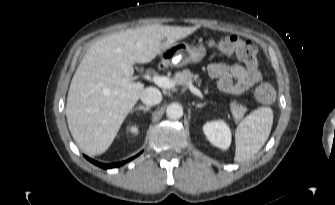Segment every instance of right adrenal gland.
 Here are the masks:
<instances>
[{
    "mask_svg": "<svg viewBox=\"0 0 335 205\" xmlns=\"http://www.w3.org/2000/svg\"><path fill=\"white\" fill-rule=\"evenodd\" d=\"M136 110H142V111H144V113H146V112H148L150 110V106L140 105L138 107H135L131 112H134Z\"/></svg>",
    "mask_w": 335,
    "mask_h": 205,
    "instance_id": "obj_1",
    "label": "right adrenal gland"
}]
</instances>
